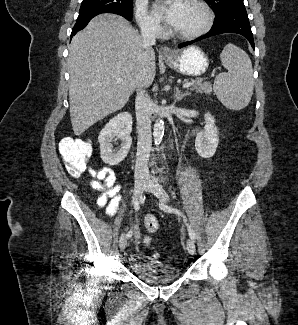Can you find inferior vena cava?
<instances>
[{"label":"inferior vena cava","mask_w":298,"mask_h":325,"mask_svg":"<svg viewBox=\"0 0 298 325\" xmlns=\"http://www.w3.org/2000/svg\"><path fill=\"white\" fill-rule=\"evenodd\" d=\"M140 32L143 38L144 48L156 44V30L154 24L150 20H141ZM154 108V102L150 98L147 90L144 88H137L135 98V110L137 118V152H136V163H135V179L142 181L149 177V156L152 142L151 132V116Z\"/></svg>","instance_id":"602c4592"}]
</instances>
